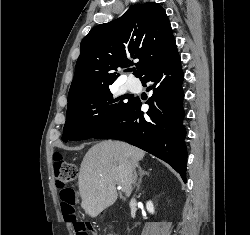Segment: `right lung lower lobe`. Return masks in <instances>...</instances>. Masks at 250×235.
Masks as SVG:
<instances>
[{
	"label": "right lung lower lobe",
	"instance_id": "obj_1",
	"mask_svg": "<svg viewBox=\"0 0 250 235\" xmlns=\"http://www.w3.org/2000/svg\"><path fill=\"white\" fill-rule=\"evenodd\" d=\"M183 78L174 42L167 54L140 78L151 84L147 115L141 112V102L132 99L129 106L94 138L124 140L137 146L170 164L186 181Z\"/></svg>",
	"mask_w": 250,
	"mask_h": 235
}]
</instances>
